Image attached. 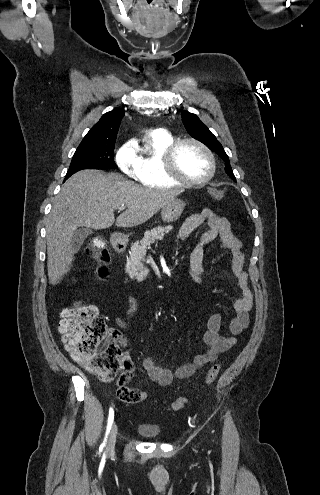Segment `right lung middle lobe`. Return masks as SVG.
<instances>
[{"label":"right lung middle lobe","mask_w":320,"mask_h":495,"mask_svg":"<svg viewBox=\"0 0 320 495\" xmlns=\"http://www.w3.org/2000/svg\"><path fill=\"white\" fill-rule=\"evenodd\" d=\"M114 146V143L108 145L79 146L74 153L65 180L72 174L83 169L117 168L114 162Z\"/></svg>","instance_id":"right-lung-middle-lobe-1"}]
</instances>
